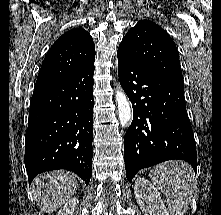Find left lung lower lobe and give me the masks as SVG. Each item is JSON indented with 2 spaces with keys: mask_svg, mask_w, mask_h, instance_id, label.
I'll use <instances>...</instances> for the list:
<instances>
[{
  "mask_svg": "<svg viewBox=\"0 0 221 215\" xmlns=\"http://www.w3.org/2000/svg\"><path fill=\"white\" fill-rule=\"evenodd\" d=\"M120 84L133 106L124 137L126 177L166 160L189 162L196 172V144L183 87L140 66L118 50Z\"/></svg>",
  "mask_w": 221,
  "mask_h": 215,
  "instance_id": "0a47b994",
  "label": "left lung lower lobe"
}]
</instances>
